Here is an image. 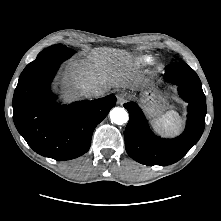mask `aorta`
Segmentation results:
<instances>
[{"label":"aorta","mask_w":221,"mask_h":221,"mask_svg":"<svg viewBox=\"0 0 221 221\" xmlns=\"http://www.w3.org/2000/svg\"><path fill=\"white\" fill-rule=\"evenodd\" d=\"M110 119L112 123L122 125L127 123L129 117L127 111L124 108L115 107L110 111Z\"/></svg>","instance_id":"1"}]
</instances>
